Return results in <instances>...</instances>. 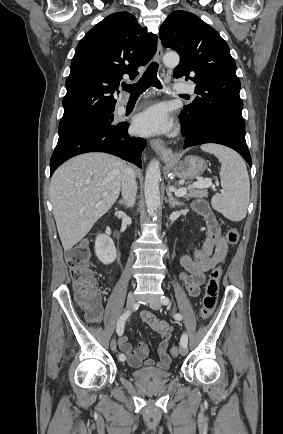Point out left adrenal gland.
I'll use <instances>...</instances> for the list:
<instances>
[{"instance_id":"obj_1","label":"left adrenal gland","mask_w":283,"mask_h":434,"mask_svg":"<svg viewBox=\"0 0 283 434\" xmlns=\"http://www.w3.org/2000/svg\"><path fill=\"white\" fill-rule=\"evenodd\" d=\"M167 195H168V204L171 208H174L175 206H181L182 203L178 202L172 195V193L167 189Z\"/></svg>"}]
</instances>
